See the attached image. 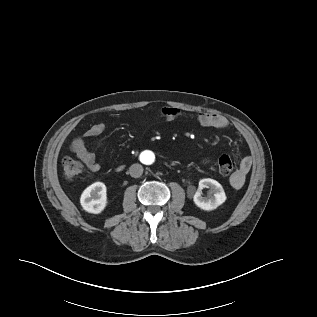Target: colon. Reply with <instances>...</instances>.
Instances as JSON below:
<instances>
[{
  "instance_id": "1",
  "label": "colon",
  "mask_w": 317,
  "mask_h": 317,
  "mask_svg": "<svg viewBox=\"0 0 317 317\" xmlns=\"http://www.w3.org/2000/svg\"><path fill=\"white\" fill-rule=\"evenodd\" d=\"M62 168L67 179H74L83 171L82 164L71 157H65L62 160ZM215 168L218 174L227 176L234 171L235 162L228 155H222L215 161Z\"/></svg>"
}]
</instances>
